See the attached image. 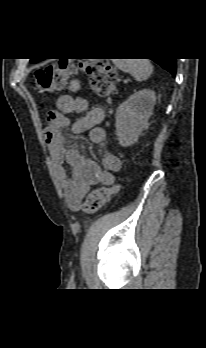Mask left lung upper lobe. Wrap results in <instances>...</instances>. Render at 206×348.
<instances>
[{
    "instance_id": "left-lung-upper-lobe-1",
    "label": "left lung upper lobe",
    "mask_w": 206,
    "mask_h": 348,
    "mask_svg": "<svg viewBox=\"0 0 206 348\" xmlns=\"http://www.w3.org/2000/svg\"><path fill=\"white\" fill-rule=\"evenodd\" d=\"M39 60H36V59H31V62H38Z\"/></svg>"
}]
</instances>
